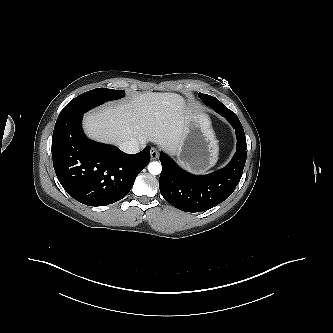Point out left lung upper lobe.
I'll return each mask as SVG.
<instances>
[{
  "label": "left lung upper lobe",
  "mask_w": 333,
  "mask_h": 333,
  "mask_svg": "<svg viewBox=\"0 0 333 333\" xmlns=\"http://www.w3.org/2000/svg\"><path fill=\"white\" fill-rule=\"evenodd\" d=\"M198 96L200 97L201 100H203L205 97H208L210 95L199 93Z\"/></svg>",
  "instance_id": "obj_1"
}]
</instances>
